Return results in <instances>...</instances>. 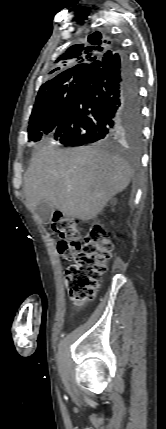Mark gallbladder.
<instances>
[{
  "label": "gallbladder",
  "mask_w": 166,
  "mask_h": 429,
  "mask_svg": "<svg viewBox=\"0 0 166 429\" xmlns=\"http://www.w3.org/2000/svg\"><path fill=\"white\" fill-rule=\"evenodd\" d=\"M53 211L54 208L51 207L47 202H40L35 208L36 214L44 224L49 223Z\"/></svg>",
  "instance_id": "gallbladder-1"
}]
</instances>
